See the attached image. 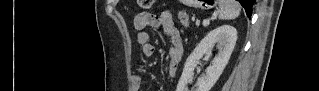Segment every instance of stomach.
Masks as SVG:
<instances>
[{"label": "stomach", "instance_id": "1", "mask_svg": "<svg viewBox=\"0 0 319 91\" xmlns=\"http://www.w3.org/2000/svg\"><path fill=\"white\" fill-rule=\"evenodd\" d=\"M184 2H188V1H184ZM215 1L214 0H205L202 1L200 4L201 6L204 8H212L214 6Z\"/></svg>", "mask_w": 319, "mask_h": 91}]
</instances>
